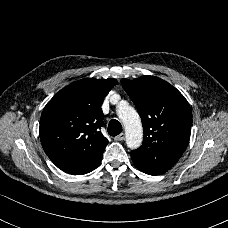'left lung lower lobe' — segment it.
<instances>
[{
	"mask_svg": "<svg viewBox=\"0 0 228 228\" xmlns=\"http://www.w3.org/2000/svg\"><path fill=\"white\" fill-rule=\"evenodd\" d=\"M133 163L137 167V169H139L140 171H142L146 174H149V175H160V174H163L167 171V170H163V169L153 168V167L141 164V163L136 162V161H133Z\"/></svg>",
	"mask_w": 228,
	"mask_h": 228,
	"instance_id": "1",
	"label": "left lung lower lobe"
}]
</instances>
